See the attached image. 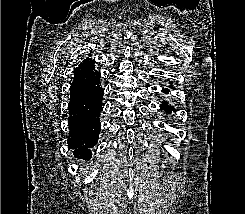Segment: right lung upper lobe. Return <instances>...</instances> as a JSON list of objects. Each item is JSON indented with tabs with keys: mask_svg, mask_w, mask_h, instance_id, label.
Wrapping results in <instances>:
<instances>
[{
	"mask_svg": "<svg viewBox=\"0 0 245 214\" xmlns=\"http://www.w3.org/2000/svg\"><path fill=\"white\" fill-rule=\"evenodd\" d=\"M95 60L85 59L79 65V73L83 80H93L99 76V72L95 70L94 67Z\"/></svg>",
	"mask_w": 245,
	"mask_h": 214,
	"instance_id": "cb5924a9",
	"label": "right lung upper lobe"
}]
</instances>
